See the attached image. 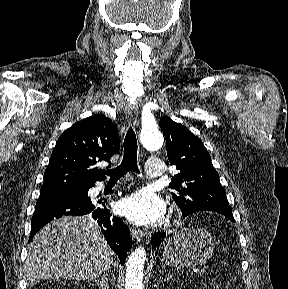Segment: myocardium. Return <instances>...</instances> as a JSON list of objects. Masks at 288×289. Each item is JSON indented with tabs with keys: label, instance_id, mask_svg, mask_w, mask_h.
Segmentation results:
<instances>
[{
	"label": "myocardium",
	"instance_id": "myocardium-1",
	"mask_svg": "<svg viewBox=\"0 0 288 289\" xmlns=\"http://www.w3.org/2000/svg\"><path fill=\"white\" fill-rule=\"evenodd\" d=\"M174 214H175L176 216H179V215H180L179 209H175V210H174Z\"/></svg>",
	"mask_w": 288,
	"mask_h": 289
}]
</instances>
